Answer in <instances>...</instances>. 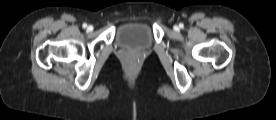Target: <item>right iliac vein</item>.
I'll return each instance as SVG.
<instances>
[{"mask_svg": "<svg viewBox=\"0 0 276 120\" xmlns=\"http://www.w3.org/2000/svg\"><path fill=\"white\" fill-rule=\"evenodd\" d=\"M87 29H88V31H92L93 30V26L90 25V26H88Z\"/></svg>", "mask_w": 276, "mask_h": 120, "instance_id": "right-iliac-vein-1", "label": "right iliac vein"}]
</instances>
